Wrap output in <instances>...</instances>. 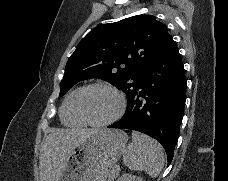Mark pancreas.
<instances>
[{
  "instance_id": "cf45deb5",
  "label": "pancreas",
  "mask_w": 228,
  "mask_h": 181,
  "mask_svg": "<svg viewBox=\"0 0 228 181\" xmlns=\"http://www.w3.org/2000/svg\"><path fill=\"white\" fill-rule=\"evenodd\" d=\"M117 175H118V171H117V169H115L113 167L112 171H110V173H109L108 181H114V179H116Z\"/></svg>"
}]
</instances>
